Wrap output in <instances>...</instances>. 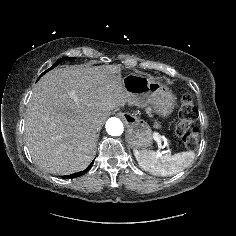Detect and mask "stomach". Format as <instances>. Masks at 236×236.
Instances as JSON below:
<instances>
[{
  "mask_svg": "<svg viewBox=\"0 0 236 236\" xmlns=\"http://www.w3.org/2000/svg\"><path fill=\"white\" fill-rule=\"evenodd\" d=\"M124 89L130 94V103L135 106L145 107L150 105L159 117H166L174 108V97L164 86L147 77L130 73L122 79ZM128 125V141L135 150L150 147L153 143L151 127L133 114L125 115ZM155 128H161L157 119Z\"/></svg>",
  "mask_w": 236,
  "mask_h": 236,
  "instance_id": "1",
  "label": "stomach"
}]
</instances>
